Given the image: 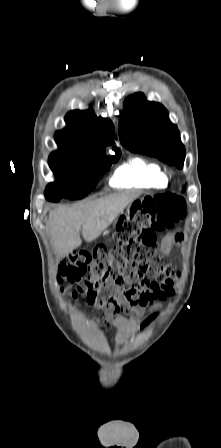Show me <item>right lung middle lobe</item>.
<instances>
[{"mask_svg":"<svg viewBox=\"0 0 221 448\" xmlns=\"http://www.w3.org/2000/svg\"><path fill=\"white\" fill-rule=\"evenodd\" d=\"M120 152L112 156L117 162ZM49 166L58 181L51 183L45 190V197L52 202L61 198L80 199L95 187L99 175L104 174L111 166L110 158H84L64 152H53L49 157ZM68 181L71 184L66 185Z\"/></svg>","mask_w":221,"mask_h":448,"instance_id":"obj_1","label":"right lung middle lobe"}]
</instances>
